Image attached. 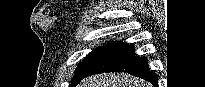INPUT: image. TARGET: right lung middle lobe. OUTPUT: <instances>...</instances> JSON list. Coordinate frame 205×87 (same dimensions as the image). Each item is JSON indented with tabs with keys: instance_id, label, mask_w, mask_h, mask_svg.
<instances>
[{
	"instance_id": "obj_1",
	"label": "right lung middle lobe",
	"mask_w": 205,
	"mask_h": 87,
	"mask_svg": "<svg viewBox=\"0 0 205 87\" xmlns=\"http://www.w3.org/2000/svg\"><path fill=\"white\" fill-rule=\"evenodd\" d=\"M123 42H117V43H108L105 46L96 48L95 50L91 51L81 62L80 65H78L76 69V73L74 76V79L70 85V87H74L78 84V82L83 78L85 73L98 61H100L102 58H104L106 55L111 53L113 50L121 46Z\"/></svg>"
}]
</instances>
